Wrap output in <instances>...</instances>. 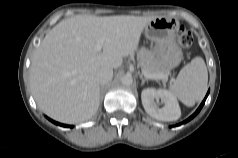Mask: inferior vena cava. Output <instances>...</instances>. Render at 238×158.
Masks as SVG:
<instances>
[{"mask_svg":"<svg viewBox=\"0 0 238 158\" xmlns=\"http://www.w3.org/2000/svg\"><path fill=\"white\" fill-rule=\"evenodd\" d=\"M113 78V70L110 67H101L97 72V82L99 85L104 86L109 83Z\"/></svg>","mask_w":238,"mask_h":158,"instance_id":"obj_1","label":"inferior vena cava"}]
</instances>
